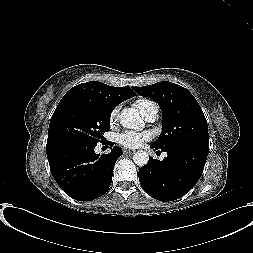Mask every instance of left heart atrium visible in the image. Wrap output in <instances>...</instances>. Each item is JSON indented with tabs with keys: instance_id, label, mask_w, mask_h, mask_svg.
<instances>
[{
	"instance_id": "1",
	"label": "left heart atrium",
	"mask_w": 253,
	"mask_h": 253,
	"mask_svg": "<svg viewBox=\"0 0 253 253\" xmlns=\"http://www.w3.org/2000/svg\"><path fill=\"white\" fill-rule=\"evenodd\" d=\"M152 138V133L149 131L136 132L126 130L117 136V142L127 148H137L149 141Z\"/></svg>"
}]
</instances>
